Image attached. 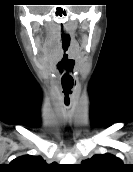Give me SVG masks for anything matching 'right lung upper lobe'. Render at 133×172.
Returning a JSON list of instances; mask_svg holds the SVG:
<instances>
[{"label":"right lung upper lobe","instance_id":"1","mask_svg":"<svg viewBox=\"0 0 133 172\" xmlns=\"http://www.w3.org/2000/svg\"><path fill=\"white\" fill-rule=\"evenodd\" d=\"M46 162L41 156L24 155L14 159L7 167L12 172H43Z\"/></svg>","mask_w":133,"mask_h":172}]
</instances>
